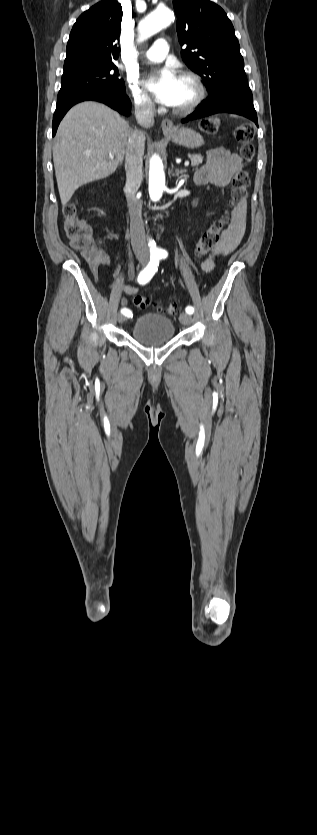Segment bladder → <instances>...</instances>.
<instances>
[{"instance_id": "obj_1", "label": "bladder", "mask_w": 317, "mask_h": 835, "mask_svg": "<svg viewBox=\"0 0 317 835\" xmlns=\"http://www.w3.org/2000/svg\"><path fill=\"white\" fill-rule=\"evenodd\" d=\"M132 338L143 345H159L171 341L175 327L170 318L158 313H146L134 322Z\"/></svg>"}]
</instances>
